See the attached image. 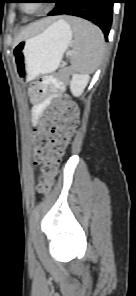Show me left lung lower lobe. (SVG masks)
Here are the masks:
<instances>
[{
    "label": "left lung lower lobe",
    "mask_w": 136,
    "mask_h": 296,
    "mask_svg": "<svg viewBox=\"0 0 136 296\" xmlns=\"http://www.w3.org/2000/svg\"><path fill=\"white\" fill-rule=\"evenodd\" d=\"M115 2V0H55L56 6L48 15L68 14L92 21L101 28L107 41Z\"/></svg>",
    "instance_id": "0a47b994"
}]
</instances>
